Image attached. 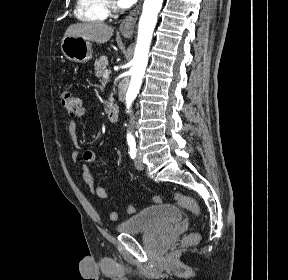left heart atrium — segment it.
Wrapping results in <instances>:
<instances>
[{"instance_id": "39dd6f15", "label": "left heart atrium", "mask_w": 288, "mask_h": 280, "mask_svg": "<svg viewBox=\"0 0 288 280\" xmlns=\"http://www.w3.org/2000/svg\"><path fill=\"white\" fill-rule=\"evenodd\" d=\"M136 0H118V3L121 7H129L131 6Z\"/></svg>"}]
</instances>
